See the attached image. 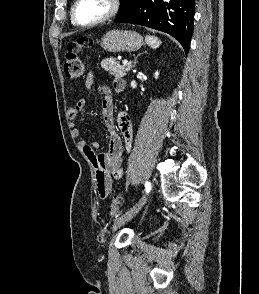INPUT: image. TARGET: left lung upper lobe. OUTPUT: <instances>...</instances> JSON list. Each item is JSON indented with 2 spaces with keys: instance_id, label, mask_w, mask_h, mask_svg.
<instances>
[{
  "instance_id": "5c2ea615",
  "label": "left lung upper lobe",
  "mask_w": 259,
  "mask_h": 294,
  "mask_svg": "<svg viewBox=\"0 0 259 294\" xmlns=\"http://www.w3.org/2000/svg\"><path fill=\"white\" fill-rule=\"evenodd\" d=\"M134 1L135 0H121V9L118 16L131 10L134 7Z\"/></svg>"
}]
</instances>
